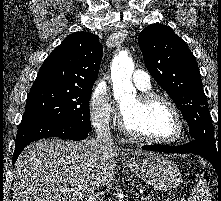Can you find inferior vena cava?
<instances>
[{
  "instance_id": "602c4592",
  "label": "inferior vena cava",
  "mask_w": 221,
  "mask_h": 201,
  "mask_svg": "<svg viewBox=\"0 0 221 201\" xmlns=\"http://www.w3.org/2000/svg\"><path fill=\"white\" fill-rule=\"evenodd\" d=\"M96 146L97 148L102 147L104 145H114V140L111 136L110 128L108 122L102 123L96 129ZM95 195L92 196V201L94 200Z\"/></svg>"
}]
</instances>
